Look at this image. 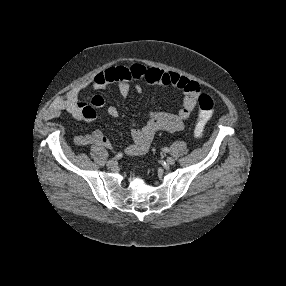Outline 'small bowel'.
<instances>
[{
	"mask_svg": "<svg viewBox=\"0 0 286 286\" xmlns=\"http://www.w3.org/2000/svg\"><path fill=\"white\" fill-rule=\"evenodd\" d=\"M142 79L152 85L173 86L179 89L184 96L182 107L176 113L154 110L150 112L144 125L132 124V143L125 148V153L129 156L143 154L149 149L154 136L159 131L175 132L184 127L196 109L197 97L201 91L198 82L176 72L151 69L140 63H135L129 67L113 66L98 73L92 79L80 83L68 91L65 96L57 99L52 104L48 115L53 118L65 112L77 122H91L97 116L96 108L103 107L105 101L102 96L95 95L89 104L81 102L79 97L84 89L91 86L94 90H101L110 84H116L119 97L125 98L129 94L132 83L135 84L137 92L141 91L138 82ZM107 113L113 118L118 117V107L115 105L108 106ZM74 143L78 146L96 144L111 147L109 139L99 130L75 137Z\"/></svg>",
	"mask_w": 286,
	"mask_h": 286,
	"instance_id": "c3829d8e",
	"label": "small bowel"
}]
</instances>
